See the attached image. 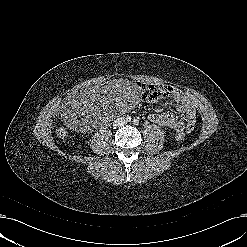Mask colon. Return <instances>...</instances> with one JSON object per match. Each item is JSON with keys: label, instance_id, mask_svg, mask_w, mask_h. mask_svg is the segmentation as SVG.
<instances>
[{"label": "colon", "instance_id": "1", "mask_svg": "<svg viewBox=\"0 0 247 247\" xmlns=\"http://www.w3.org/2000/svg\"><path fill=\"white\" fill-rule=\"evenodd\" d=\"M144 91L146 93L147 98H149V99H153L157 96V90L155 88H153L152 86H148V87L144 88ZM55 132H56V135L61 139L66 138L68 135L67 128L62 124H59L56 127ZM175 137L177 140H182L185 137V132L178 130L175 132Z\"/></svg>", "mask_w": 247, "mask_h": 247}]
</instances>
